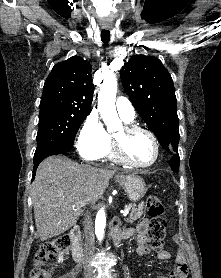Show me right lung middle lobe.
<instances>
[{"label":"right lung middle lobe","mask_w":221,"mask_h":278,"mask_svg":"<svg viewBox=\"0 0 221 278\" xmlns=\"http://www.w3.org/2000/svg\"><path fill=\"white\" fill-rule=\"evenodd\" d=\"M87 115L88 113L72 114L58 110L40 111L36 152L54 144H73L76 133Z\"/></svg>","instance_id":"1"}]
</instances>
